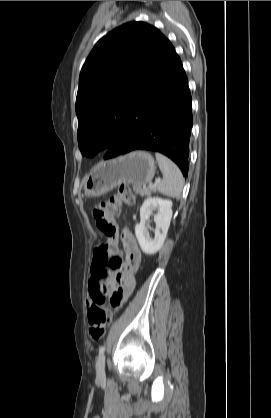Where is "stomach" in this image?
Instances as JSON below:
<instances>
[{
	"label": "stomach",
	"instance_id": "1",
	"mask_svg": "<svg viewBox=\"0 0 271 418\" xmlns=\"http://www.w3.org/2000/svg\"><path fill=\"white\" fill-rule=\"evenodd\" d=\"M155 161L145 151H135L97 164L85 179L89 197L101 196L122 183L145 185L154 177Z\"/></svg>",
	"mask_w": 271,
	"mask_h": 418
}]
</instances>
